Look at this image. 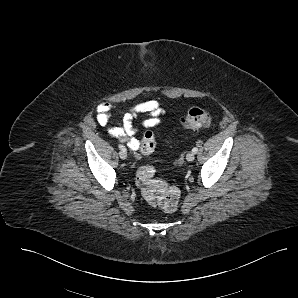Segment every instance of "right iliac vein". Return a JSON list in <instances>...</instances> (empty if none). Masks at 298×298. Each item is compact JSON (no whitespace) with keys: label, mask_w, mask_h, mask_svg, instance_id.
Instances as JSON below:
<instances>
[{"label":"right iliac vein","mask_w":298,"mask_h":298,"mask_svg":"<svg viewBox=\"0 0 298 298\" xmlns=\"http://www.w3.org/2000/svg\"><path fill=\"white\" fill-rule=\"evenodd\" d=\"M119 156H120L121 159H126V157H127V152L121 150V151L119 152Z\"/></svg>","instance_id":"63e3f726"}]
</instances>
